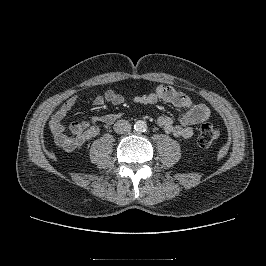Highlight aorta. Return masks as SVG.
I'll return each instance as SVG.
<instances>
[{"instance_id":"obj_1","label":"aorta","mask_w":266,"mask_h":266,"mask_svg":"<svg viewBox=\"0 0 266 266\" xmlns=\"http://www.w3.org/2000/svg\"><path fill=\"white\" fill-rule=\"evenodd\" d=\"M134 129H135L137 132H144V131H146V129H147V124H146L145 121L138 120V121H136V123L134 124Z\"/></svg>"}]
</instances>
